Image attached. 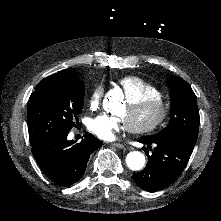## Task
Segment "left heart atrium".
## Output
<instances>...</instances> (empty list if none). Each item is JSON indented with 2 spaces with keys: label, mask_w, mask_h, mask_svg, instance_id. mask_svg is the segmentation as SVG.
<instances>
[{
  "label": "left heart atrium",
  "mask_w": 221,
  "mask_h": 221,
  "mask_svg": "<svg viewBox=\"0 0 221 221\" xmlns=\"http://www.w3.org/2000/svg\"><path fill=\"white\" fill-rule=\"evenodd\" d=\"M89 130L101 139L113 141L116 139L118 124L112 119L98 117L91 120Z\"/></svg>",
  "instance_id": "39dd6f15"
}]
</instances>
